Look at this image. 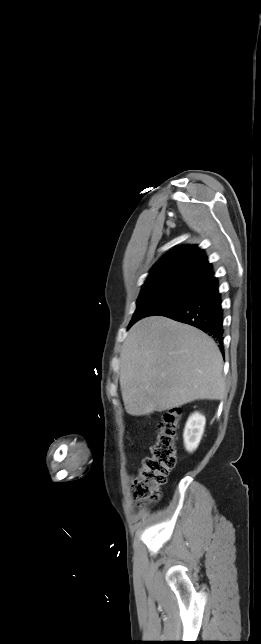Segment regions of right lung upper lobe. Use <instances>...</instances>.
<instances>
[{
  "mask_svg": "<svg viewBox=\"0 0 261 644\" xmlns=\"http://www.w3.org/2000/svg\"><path fill=\"white\" fill-rule=\"evenodd\" d=\"M213 274L203 250L195 245L184 246L161 258L150 270L144 284L167 279H183L200 284Z\"/></svg>",
  "mask_w": 261,
  "mask_h": 644,
  "instance_id": "cb5924a9",
  "label": "right lung upper lobe"
}]
</instances>
